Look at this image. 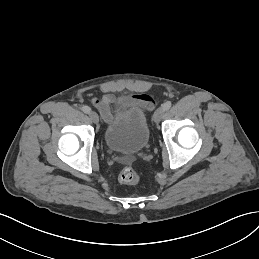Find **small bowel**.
Returning <instances> with one entry per match:
<instances>
[{"label": "small bowel", "mask_w": 259, "mask_h": 259, "mask_svg": "<svg viewBox=\"0 0 259 259\" xmlns=\"http://www.w3.org/2000/svg\"><path fill=\"white\" fill-rule=\"evenodd\" d=\"M92 102L106 122H109L112 118L111 106L113 104H118L120 110H124L131 105L142 106L146 109H152L153 107L152 98L145 94H134L125 99H118L114 94L106 93L100 99H93Z\"/></svg>", "instance_id": "1"}]
</instances>
